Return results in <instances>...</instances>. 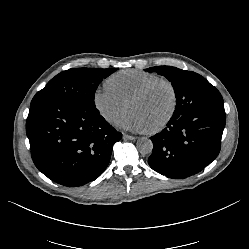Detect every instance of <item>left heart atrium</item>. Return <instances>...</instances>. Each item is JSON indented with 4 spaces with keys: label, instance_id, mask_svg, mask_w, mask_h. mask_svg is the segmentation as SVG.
<instances>
[{
    "label": "left heart atrium",
    "instance_id": "obj_1",
    "mask_svg": "<svg viewBox=\"0 0 249 249\" xmlns=\"http://www.w3.org/2000/svg\"><path fill=\"white\" fill-rule=\"evenodd\" d=\"M117 125L128 131L145 132L148 130L142 117L135 111H128L117 120Z\"/></svg>",
    "mask_w": 249,
    "mask_h": 249
}]
</instances>
